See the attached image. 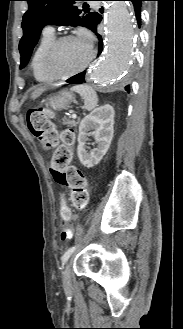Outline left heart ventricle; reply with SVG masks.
Masks as SVG:
<instances>
[{
    "instance_id": "obj_1",
    "label": "left heart ventricle",
    "mask_w": 183,
    "mask_h": 329,
    "mask_svg": "<svg viewBox=\"0 0 183 329\" xmlns=\"http://www.w3.org/2000/svg\"><path fill=\"white\" fill-rule=\"evenodd\" d=\"M90 53L89 46L78 38L67 40L62 43L52 59V70L56 74H64L81 67Z\"/></svg>"
}]
</instances>
